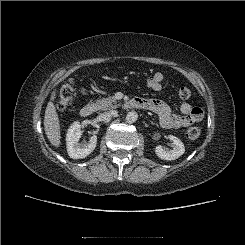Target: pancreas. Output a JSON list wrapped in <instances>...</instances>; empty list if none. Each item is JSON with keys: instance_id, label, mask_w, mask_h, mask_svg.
Here are the masks:
<instances>
[{"instance_id": "pancreas-1", "label": "pancreas", "mask_w": 245, "mask_h": 245, "mask_svg": "<svg viewBox=\"0 0 245 245\" xmlns=\"http://www.w3.org/2000/svg\"><path fill=\"white\" fill-rule=\"evenodd\" d=\"M95 106L98 110H112V109H116L119 104L117 103V100L112 97L109 96L107 98H102L96 101Z\"/></svg>"}]
</instances>
